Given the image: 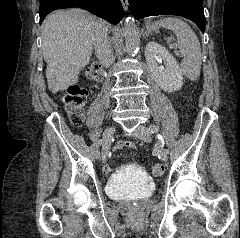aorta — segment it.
<instances>
[{
    "instance_id": "obj_1",
    "label": "aorta",
    "mask_w": 240,
    "mask_h": 238,
    "mask_svg": "<svg viewBox=\"0 0 240 238\" xmlns=\"http://www.w3.org/2000/svg\"><path fill=\"white\" fill-rule=\"evenodd\" d=\"M124 35L126 52L128 55H135L140 47V34L134 21L129 18L125 21Z\"/></svg>"
}]
</instances>
